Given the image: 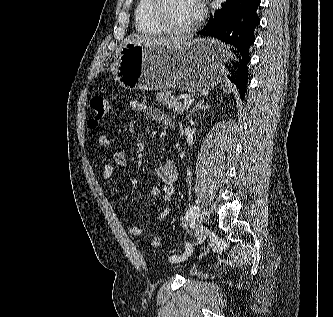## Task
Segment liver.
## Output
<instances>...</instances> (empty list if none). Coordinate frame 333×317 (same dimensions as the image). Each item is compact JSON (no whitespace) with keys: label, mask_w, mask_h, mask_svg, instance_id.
<instances>
[{"label":"liver","mask_w":333,"mask_h":317,"mask_svg":"<svg viewBox=\"0 0 333 317\" xmlns=\"http://www.w3.org/2000/svg\"><path fill=\"white\" fill-rule=\"evenodd\" d=\"M193 37H150L146 35H131L124 39L121 46L127 43L135 44H157L178 48L186 45Z\"/></svg>","instance_id":"1"}]
</instances>
